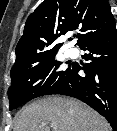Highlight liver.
Masks as SVG:
<instances>
[{
    "label": "liver",
    "instance_id": "liver-1",
    "mask_svg": "<svg viewBox=\"0 0 117 131\" xmlns=\"http://www.w3.org/2000/svg\"><path fill=\"white\" fill-rule=\"evenodd\" d=\"M109 131L108 123L86 104L71 98L50 96L23 108L14 131Z\"/></svg>",
    "mask_w": 117,
    "mask_h": 131
}]
</instances>
